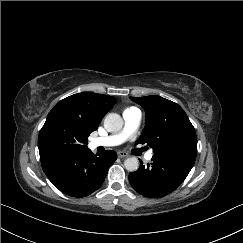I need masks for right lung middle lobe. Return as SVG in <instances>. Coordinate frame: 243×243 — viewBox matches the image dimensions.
Segmentation results:
<instances>
[{"instance_id":"obj_1","label":"right lung middle lobe","mask_w":243,"mask_h":243,"mask_svg":"<svg viewBox=\"0 0 243 243\" xmlns=\"http://www.w3.org/2000/svg\"><path fill=\"white\" fill-rule=\"evenodd\" d=\"M90 132L61 110H51L38 138L40 160L86 149Z\"/></svg>"}]
</instances>
